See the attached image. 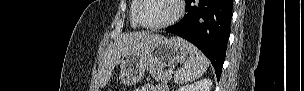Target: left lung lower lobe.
<instances>
[{"mask_svg": "<svg viewBox=\"0 0 304 91\" xmlns=\"http://www.w3.org/2000/svg\"><path fill=\"white\" fill-rule=\"evenodd\" d=\"M186 15L166 29L198 47L211 61L219 80L230 35L232 0H185Z\"/></svg>", "mask_w": 304, "mask_h": 91, "instance_id": "1", "label": "left lung lower lobe"}]
</instances>
